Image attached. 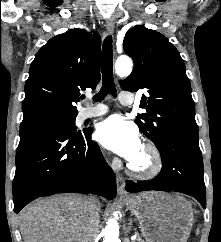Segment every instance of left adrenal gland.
Segmentation results:
<instances>
[{"instance_id":"obj_1","label":"left adrenal gland","mask_w":221,"mask_h":242,"mask_svg":"<svg viewBox=\"0 0 221 242\" xmlns=\"http://www.w3.org/2000/svg\"><path fill=\"white\" fill-rule=\"evenodd\" d=\"M130 226L128 227V228H130L131 227V225H132V220H130V224H129Z\"/></svg>"}]
</instances>
